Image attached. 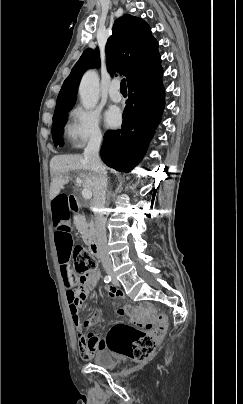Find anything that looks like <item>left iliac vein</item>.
Masks as SVG:
<instances>
[{
  "label": "left iliac vein",
  "mask_w": 243,
  "mask_h": 404,
  "mask_svg": "<svg viewBox=\"0 0 243 404\" xmlns=\"http://www.w3.org/2000/svg\"><path fill=\"white\" fill-rule=\"evenodd\" d=\"M112 284L114 285V286H116V287H118L120 284H119V281L116 279V277L115 276H112Z\"/></svg>",
  "instance_id": "left-iliac-vein-1"
}]
</instances>
